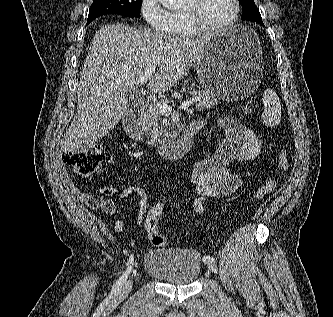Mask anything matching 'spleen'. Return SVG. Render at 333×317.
I'll return each instance as SVG.
<instances>
[{"instance_id": "obj_1", "label": "spleen", "mask_w": 333, "mask_h": 317, "mask_svg": "<svg viewBox=\"0 0 333 317\" xmlns=\"http://www.w3.org/2000/svg\"><path fill=\"white\" fill-rule=\"evenodd\" d=\"M263 103L262 122L270 127L277 126L281 121V103L276 92L266 89L263 93Z\"/></svg>"}]
</instances>
